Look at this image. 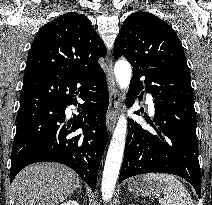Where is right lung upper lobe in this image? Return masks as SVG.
<instances>
[{
	"mask_svg": "<svg viewBox=\"0 0 212 205\" xmlns=\"http://www.w3.org/2000/svg\"><path fill=\"white\" fill-rule=\"evenodd\" d=\"M107 49L83 14H63L37 33L28 54L23 83L101 69L98 60Z\"/></svg>",
	"mask_w": 212,
	"mask_h": 205,
	"instance_id": "right-lung-upper-lobe-1",
	"label": "right lung upper lobe"
}]
</instances>
